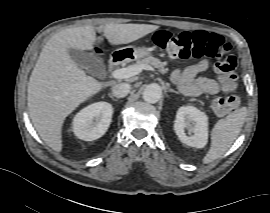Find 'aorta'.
Instances as JSON below:
<instances>
[{"label": "aorta", "instance_id": "obj_1", "mask_svg": "<svg viewBox=\"0 0 270 213\" xmlns=\"http://www.w3.org/2000/svg\"><path fill=\"white\" fill-rule=\"evenodd\" d=\"M162 96L161 86L157 83H151L143 91V99L148 103H156Z\"/></svg>", "mask_w": 270, "mask_h": 213}]
</instances>
